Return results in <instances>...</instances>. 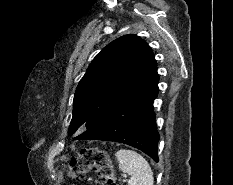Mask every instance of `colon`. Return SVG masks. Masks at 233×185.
Returning <instances> with one entry per match:
<instances>
[{"label": "colon", "instance_id": "5ec220e1", "mask_svg": "<svg viewBox=\"0 0 233 185\" xmlns=\"http://www.w3.org/2000/svg\"><path fill=\"white\" fill-rule=\"evenodd\" d=\"M90 171L95 172L100 182L105 185H115L112 164L104 150L97 147L83 148L67 167L68 176L75 179Z\"/></svg>", "mask_w": 233, "mask_h": 185}]
</instances>
